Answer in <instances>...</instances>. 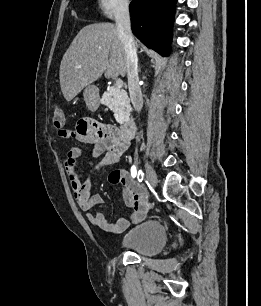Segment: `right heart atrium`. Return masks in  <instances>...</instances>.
Segmentation results:
<instances>
[{
  "instance_id": "1",
  "label": "right heart atrium",
  "mask_w": 261,
  "mask_h": 306,
  "mask_svg": "<svg viewBox=\"0 0 261 306\" xmlns=\"http://www.w3.org/2000/svg\"><path fill=\"white\" fill-rule=\"evenodd\" d=\"M129 5L130 0H96L97 11L105 18H112L128 10Z\"/></svg>"
}]
</instances>
